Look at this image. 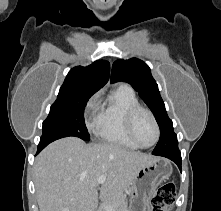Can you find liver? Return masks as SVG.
Returning a JSON list of instances; mask_svg holds the SVG:
<instances>
[{"instance_id": "obj_1", "label": "liver", "mask_w": 221, "mask_h": 211, "mask_svg": "<svg viewBox=\"0 0 221 211\" xmlns=\"http://www.w3.org/2000/svg\"><path fill=\"white\" fill-rule=\"evenodd\" d=\"M156 158L109 143L86 144L67 137L48 145L36 158L34 177L39 211H96L100 176L106 199L127 189L138 170Z\"/></svg>"}]
</instances>
